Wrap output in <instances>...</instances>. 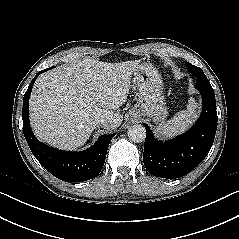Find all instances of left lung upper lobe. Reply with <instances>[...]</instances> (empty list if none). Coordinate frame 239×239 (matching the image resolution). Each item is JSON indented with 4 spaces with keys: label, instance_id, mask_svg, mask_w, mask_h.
<instances>
[{
    "label": "left lung upper lobe",
    "instance_id": "obj_1",
    "mask_svg": "<svg viewBox=\"0 0 239 239\" xmlns=\"http://www.w3.org/2000/svg\"><path fill=\"white\" fill-rule=\"evenodd\" d=\"M186 67L193 75L196 76L197 81L209 82L201 68L194 66L188 62H186Z\"/></svg>",
    "mask_w": 239,
    "mask_h": 239
}]
</instances>
